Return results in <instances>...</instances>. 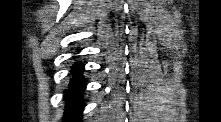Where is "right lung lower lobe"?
Listing matches in <instances>:
<instances>
[{
    "mask_svg": "<svg viewBox=\"0 0 221 122\" xmlns=\"http://www.w3.org/2000/svg\"><path fill=\"white\" fill-rule=\"evenodd\" d=\"M84 68L82 63H75L72 66V78L65 91L66 107L64 111V122H78L82 113L83 104V91L86 88L85 81L81 73Z\"/></svg>",
    "mask_w": 221,
    "mask_h": 122,
    "instance_id": "98d812e1",
    "label": "right lung lower lobe"
}]
</instances>
